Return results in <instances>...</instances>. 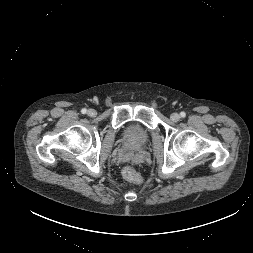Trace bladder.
Listing matches in <instances>:
<instances>
[{"label": "bladder", "instance_id": "bladder-1", "mask_svg": "<svg viewBox=\"0 0 253 253\" xmlns=\"http://www.w3.org/2000/svg\"><path fill=\"white\" fill-rule=\"evenodd\" d=\"M125 141L133 147H142L149 140L147 130L136 125L129 126L124 133Z\"/></svg>", "mask_w": 253, "mask_h": 253}]
</instances>
